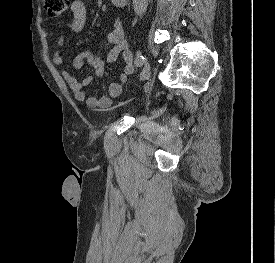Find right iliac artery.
<instances>
[{
    "mask_svg": "<svg viewBox=\"0 0 275 263\" xmlns=\"http://www.w3.org/2000/svg\"><path fill=\"white\" fill-rule=\"evenodd\" d=\"M145 58L141 53H138L135 59L136 66L140 67L144 64Z\"/></svg>",
    "mask_w": 275,
    "mask_h": 263,
    "instance_id": "1",
    "label": "right iliac artery"
}]
</instances>
